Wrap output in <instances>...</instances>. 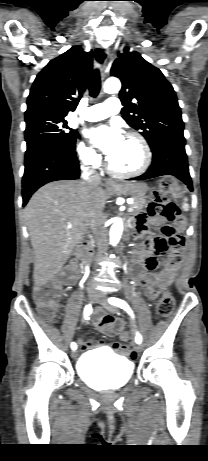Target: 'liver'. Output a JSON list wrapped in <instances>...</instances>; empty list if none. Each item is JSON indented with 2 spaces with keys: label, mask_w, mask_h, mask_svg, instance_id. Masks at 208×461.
I'll return each instance as SVG.
<instances>
[{
  "label": "liver",
  "mask_w": 208,
  "mask_h": 461,
  "mask_svg": "<svg viewBox=\"0 0 208 461\" xmlns=\"http://www.w3.org/2000/svg\"><path fill=\"white\" fill-rule=\"evenodd\" d=\"M107 199L108 191L85 181L51 182L35 192L25 216L34 252L36 285H44L61 270L92 216L103 210Z\"/></svg>",
  "instance_id": "6515ba94"
}]
</instances>
